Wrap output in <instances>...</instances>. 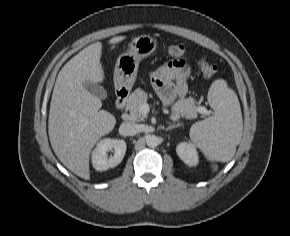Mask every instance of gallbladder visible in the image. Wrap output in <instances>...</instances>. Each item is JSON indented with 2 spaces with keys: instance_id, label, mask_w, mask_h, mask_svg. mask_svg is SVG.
<instances>
[{
  "instance_id": "gallbladder-1",
  "label": "gallbladder",
  "mask_w": 290,
  "mask_h": 236,
  "mask_svg": "<svg viewBox=\"0 0 290 236\" xmlns=\"http://www.w3.org/2000/svg\"><path fill=\"white\" fill-rule=\"evenodd\" d=\"M84 86L88 91H90L91 93L99 97L100 99H105L107 97L106 90L99 84L86 82L84 83Z\"/></svg>"
}]
</instances>
